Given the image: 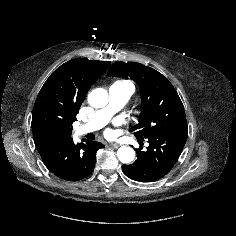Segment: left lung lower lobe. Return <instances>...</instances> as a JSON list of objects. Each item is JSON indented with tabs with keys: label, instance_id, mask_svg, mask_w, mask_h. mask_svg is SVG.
I'll return each instance as SVG.
<instances>
[{
	"label": "left lung lower lobe",
	"instance_id": "obj_1",
	"mask_svg": "<svg viewBox=\"0 0 236 236\" xmlns=\"http://www.w3.org/2000/svg\"><path fill=\"white\" fill-rule=\"evenodd\" d=\"M187 137L188 126H182L147 138V150L136 149L137 160L133 164L122 165V171L139 182H154L163 178L177 162Z\"/></svg>",
	"mask_w": 236,
	"mask_h": 236
}]
</instances>
